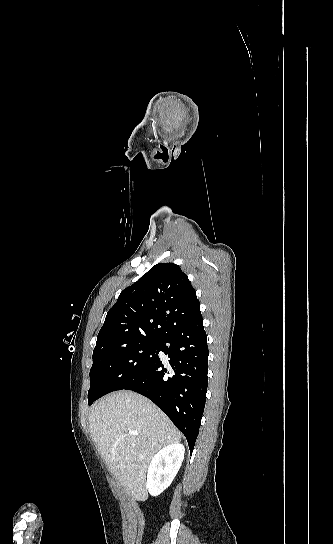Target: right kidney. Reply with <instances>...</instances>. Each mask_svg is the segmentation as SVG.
Segmentation results:
<instances>
[{"instance_id":"right-kidney-1","label":"right kidney","mask_w":333,"mask_h":544,"mask_svg":"<svg viewBox=\"0 0 333 544\" xmlns=\"http://www.w3.org/2000/svg\"><path fill=\"white\" fill-rule=\"evenodd\" d=\"M185 448L182 444L163 447L154 455L148 468L146 488L151 496L160 495L167 489L178 473Z\"/></svg>"}]
</instances>
